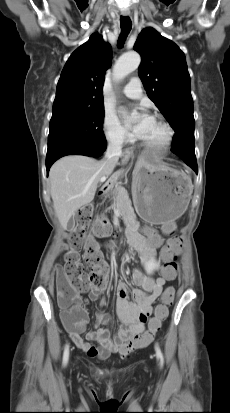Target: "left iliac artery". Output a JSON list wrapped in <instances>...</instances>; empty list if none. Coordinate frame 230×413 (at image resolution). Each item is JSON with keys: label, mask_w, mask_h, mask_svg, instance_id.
<instances>
[{"label": "left iliac artery", "mask_w": 230, "mask_h": 413, "mask_svg": "<svg viewBox=\"0 0 230 413\" xmlns=\"http://www.w3.org/2000/svg\"><path fill=\"white\" fill-rule=\"evenodd\" d=\"M155 350H156L157 359L160 360V365L162 366L164 359H163L162 352H161V350H160V348H159L158 345L155 346Z\"/></svg>", "instance_id": "left-iliac-artery-1"}]
</instances>
